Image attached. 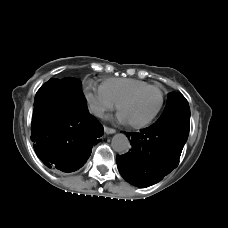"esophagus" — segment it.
Wrapping results in <instances>:
<instances>
[{
  "instance_id": "1",
  "label": "esophagus",
  "mask_w": 228,
  "mask_h": 228,
  "mask_svg": "<svg viewBox=\"0 0 228 228\" xmlns=\"http://www.w3.org/2000/svg\"><path fill=\"white\" fill-rule=\"evenodd\" d=\"M104 132H105L106 134H114V133L116 132V130L113 129V128L104 126Z\"/></svg>"
}]
</instances>
